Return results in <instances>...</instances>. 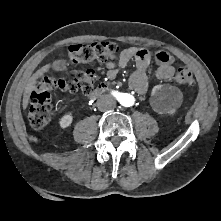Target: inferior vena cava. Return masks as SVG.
<instances>
[{"label":"inferior vena cava","instance_id":"602c4592","mask_svg":"<svg viewBox=\"0 0 221 221\" xmlns=\"http://www.w3.org/2000/svg\"><path fill=\"white\" fill-rule=\"evenodd\" d=\"M97 107L102 112L110 111L116 107V101L110 95H103L97 101Z\"/></svg>","mask_w":221,"mask_h":221}]
</instances>
